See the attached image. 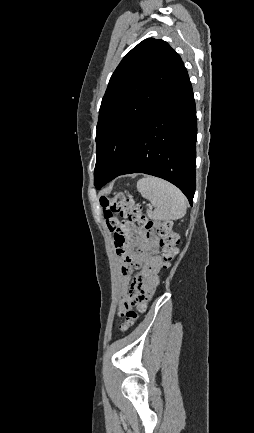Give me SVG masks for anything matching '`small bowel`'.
I'll return each instance as SVG.
<instances>
[{"instance_id": "c3829d8e", "label": "small bowel", "mask_w": 254, "mask_h": 433, "mask_svg": "<svg viewBox=\"0 0 254 433\" xmlns=\"http://www.w3.org/2000/svg\"><path fill=\"white\" fill-rule=\"evenodd\" d=\"M162 266V259L157 255L151 234L140 233L136 240H128L125 254L119 256V279L123 285L122 303L124 304L128 297L146 303L159 285ZM134 268L137 273L130 281Z\"/></svg>"}]
</instances>
